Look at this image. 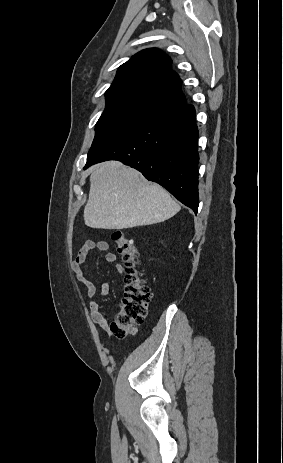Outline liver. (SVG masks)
<instances>
[{
	"mask_svg": "<svg viewBox=\"0 0 283 463\" xmlns=\"http://www.w3.org/2000/svg\"><path fill=\"white\" fill-rule=\"evenodd\" d=\"M180 205L161 186L118 161L91 168L84 222L97 229H125L152 225L173 217Z\"/></svg>",
	"mask_w": 283,
	"mask_h": 463,
	"instance_id": "obj_1",
	"label": "liver"
}]
</instances>
